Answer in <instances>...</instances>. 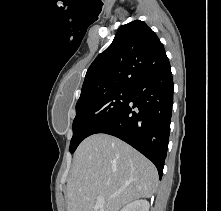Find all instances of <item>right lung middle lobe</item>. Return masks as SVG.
<instances>
[{
	"instance_id": "right-lung-middle-lobe-1",
	"label": "right lung middle lobe",
	"mask_w": 221,
	"mask_h": 211,
	"mask_svg": "<svg viewBox=\"0 0 221 211\" xmlns=\"http://www.w3.org/2000/svg\"><path fill=\"white\" fill-rule=\"evenodd\" d=\"M130 88L111 90L90 98L79 99L76 104V117L73 121V137L70 152L88 136L95 134L101 127L112 120L127 104Z\"/></svg>"
}]
</instances>
